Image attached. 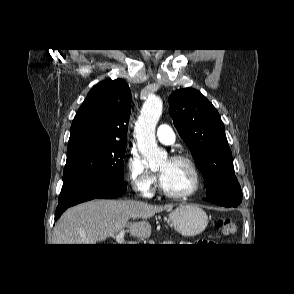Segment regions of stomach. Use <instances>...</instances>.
<instances>
[{"label": "stomach", "instance_id": "0dacf381", "mask_svg": "<svg viewBox=\"0 0 294 294\" xmlns=\"http://www.w3.org/2000/svg\"><path fill=\"white\" fill-rule=\"evenodd\" d=\"M175 230L183 236L192 237L202 233L208 224L206 213L198 205H179L170 212Z\"/></svg>", "mask_w": 294, "mask_h": 294}]
</instances>
